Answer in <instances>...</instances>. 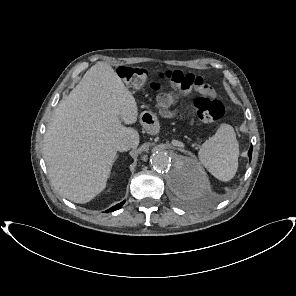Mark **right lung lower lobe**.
Wrapping results in <instances>:
<instances>
[{
  "mask_svg": "<svg viewBox=\"0 0 296 296\" xmlns=\"http://www.w3.org/2000/svg\"><path fill=\"white\" fill-rule=\"evenodd\" d=\"M124 203H125V201L121 202L120 204H117L116 206H113L112 208L108 209L106 212L115 211V210L119 209Z\"/></svg>",
  "mask_w": 296,
  "mask_h": 296,
  "instance_id": "98d812e1",
  "label": "right lung lower lobe"
}]
</instances>
